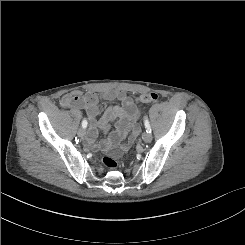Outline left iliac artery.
Wrapping results in <instances>:
<instances>
[{
  "label": "left iliac artery",
  "mask_w": 245,
  "mask_h": 245,
  "mask_svg": "<svg viewBox=\"0 0 245 245\" xmlns=\"http://www.w3.org/2000/svg\"><path fill=\"white\" fill-rule=\"evenodd\" d=\"M144 125L146 127V132L151 133L150 124H149L148 118L146 116L144 117Z\"/></svg>",
  "instance_id": "1"
}]
</instances>
